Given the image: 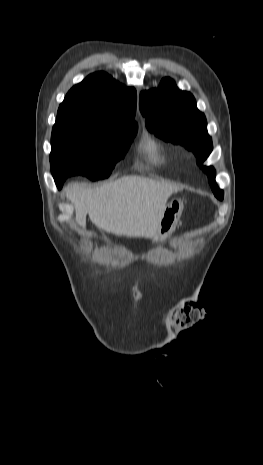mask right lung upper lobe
Listing matches in <instances>:
<instances>
[{
    "label": "right lung upper lobe",
    "mask_w": 263,
    "mask_h": 465,
    "mask_svg": "<svg viewBox=\"0 0 263 465\" xmlns=\"http://www.w3.org/2000/svg\"><path fill=\"white\" fill-rule=\"evenodd\" d=\"M58 113H84L134 121L136 91L124 87L104 72H96L67 93Z\"/></svg>",
    "instance_id": "obj_1"
}]
</instances>
